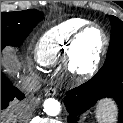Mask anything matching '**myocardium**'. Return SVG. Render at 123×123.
<instances>
[{
  "label": "myocardium",
  "instance_id": "1",
  "mask_svg": "<svg viewBox=\"0 0 123 123\" xmlns=\"http://www.w3.org/2000/svg\"><path fill=\"white\" fill-rule=\"evenodd\" d=\"M96 28L102 35L103 42L95 54L92 61L85 64L82 56L78 52V43L90 28ZM109 44V38L106 31L97 23H88L75 35L70 48V56L68 60L69 70L79 78H88L92 76L100 65L103 55L105 54Z\"/></svg>",
  "mask_w": 123,
  "mask_h": 123
}]
</instances>
